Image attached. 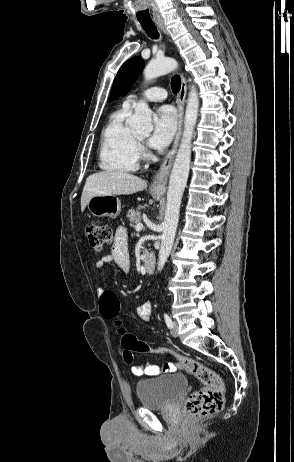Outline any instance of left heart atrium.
I'll list each match as a JSON object with an SVG mask.
<instances>
[{
    "mask_svg": "<svg viewBox=\"0 0 294 462\" xmlns=\"http://www.w3.org/2000/svg\"><path fill=\"white\" fill-rule=\"evenodd\" d=\"M177 127L175 110L171 106H162L158 109L153 133L149 139L150 145L155 149L166 147L172 140Z\"/></svg>",
    "mask_w": 294,
    "mask_h": 462,
    "instance_id": "1",
    "label": "left heart atrium"
}]
</instances>
